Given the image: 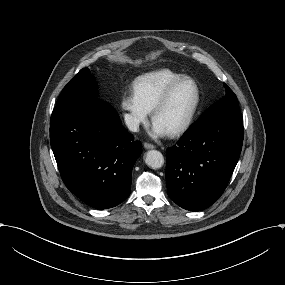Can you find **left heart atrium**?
I'll return each instance as SVG.
<instances>
[{
  "instance_id": "left-heart-atrium-1",
  "label": "left heart atrium",
  "mask_w": 285,
  "mask_h": 285,
  "mask_svg": "<svg viewBox=\"0 0 285 285\" xmlns=\"http://www.w3.org/2000/svg\"><path fill=\"white\" fill-rule=\"evenodd\" d=\"M168 131L159 122L154 121L150 130V135L153 138H161L167 135Z\"/></svg>"
}]
</instances>
